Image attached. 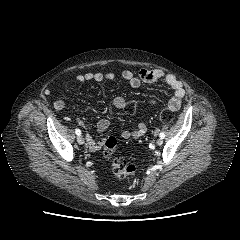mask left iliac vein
I'll return each instance as SVG.
<instances>
[{
  "label": "left iliac vein",
  "instance_id": "left-iliac-vein-1",
  "mask_svg": "<svg viewBox=\"0 0 240 240\" xmlns=\"http://www.w3.org/2000/svg\"><path fill=\"white\" fill-rule=\"evenodd\" d=\"M156 143H157V145H162L163 139L162 138L157 139Z\"/></svg>",
  "mask_w": 240,
  "mask_h": 240
}]
</instances>
